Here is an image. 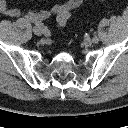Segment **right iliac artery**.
I'll return each instance as SVG.
<instances>
[{
  "mask_svg": "<svg viewBox=\"0 0 128 128\" xmlns=\"http://www.w3.org/2000/svg\"><path fill=\"white\" fill-rule=\"evenodd\" d=\"M39 26V28L41 27V24H37ZM42 31L46 34L47 30L46 29H42Z\"/></svg>",
  "mask_w": 128,
  "mask_h": 128,
  "instance_id": "1",
  "label": "right iliac artery"
}]
</instances>
